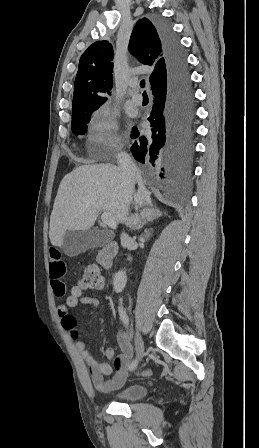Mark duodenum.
Listing matches in <instances>:
<instances>
[{
  "instance_id": "410a0bca",
  "label": "duodenum",
  "mask_w": 259,
  "mask_h": 448,
  "mask_svg": "<svg viewBox=\"0 0 259 448\" xmlns=\"http://www.w3.org/2000/svg\"><path fill=\"white\" fill-rule=\"evenodd\" d=\"M118 246L114 241H108L98 252L97 262L98 264L105 268L109 269L112 267L114 258L117 254Z\"/></svg>"
}]
</instances>
